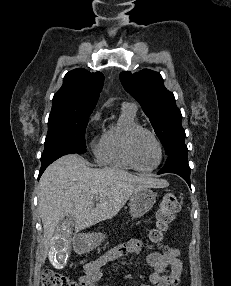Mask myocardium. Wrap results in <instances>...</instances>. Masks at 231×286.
I'll return each instance as SVG.
<instances>
[{
	"mask_svg": "<svg viewBox=\"0 0 231 286\" xmlns=\"http://www.w3.org/2000/svg\"><path fill=\"white\" fill-rule=\"evenodd\" d=\"M141 133H146V134L150 135L152 137V139L154 140V142L156 143L157 148H158V152H159L158 161H157L156 165L150 169H143V168L139 167L135 161V158H134L133 143H134L135 138ZM125 153H126V156L129 160L130 164L132 165V167L141 173H151V172L155 171L161 165V163L163 161V156H164L163 145H162L160 139L158 138V136L156 135V133L154 131H152L151 129L146 128V127H142V126H137L133 129H131L127 133L126 139H125Z\"/></svg>",
	"mask_w": 231,
	"mask_h": 286,
	"instance_id": "1",
	"label": "myocardium"
}]
</instances>
